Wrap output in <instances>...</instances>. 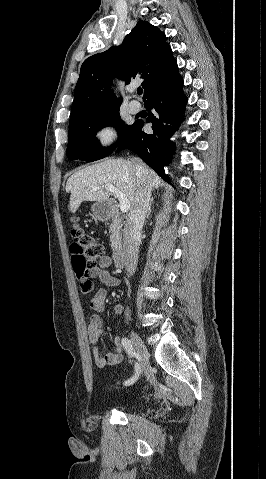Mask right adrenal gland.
<instances>
[{
  "label": "right adrenal gland",
  "mask_w": 266,
  "mask_h": 479,
  "mask_svg": "<svg viewBox=\"0 0 266 479\" xmlns=\"http://www.w3.org/2000/svg\"><path fill=\"white\" fill-rule=\"evenodd\" d=\"M152 202H153V199H151L150 204H149V207H148L147 218H149V215H150V213H151Z\"/></svg>",
  "instance_id": "1"
}]
</instances>
